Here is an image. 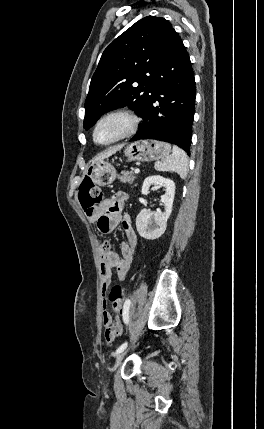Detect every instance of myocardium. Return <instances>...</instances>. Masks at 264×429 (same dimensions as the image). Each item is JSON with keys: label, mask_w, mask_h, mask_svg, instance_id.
I'll use <instances>...</instances> for the list:
<instances>
[{"label": "myocardium", "mask_w": 264, "mask_h": 429, "mask_svg": "<svg viewBox=\"0 0 264 429\" xmlns=\"http://www.w3.org/2000/svg\"><path fill=\"white\" fill-rule=\"evenodd\" d=\"M114 117L124 118L127 121L126 129L120 135H118L117 137H115L114 139H112L110 141L99 142L96 139V133H97L99 126L104 121H106L110 118H114ZM139 122H140L139 117L132 110H129L126 108H119V109L111 110V111L105 113L104 115H102L96 121V123L93 127V130H92V139H93L94 143H96L97 145H101V146H108V145L117 143L119 141H122V140L132 136L136 132V130L139 126Z\"/></svg>", "instance_id": "obj_1"}]
</instances>
